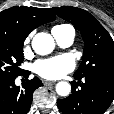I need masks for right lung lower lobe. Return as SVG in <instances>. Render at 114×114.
<instances>
[{
	"instance_id": "right-lung-lower-lobe-1",
	"label": "right lung lower lobe",
	"mask_w": 114,
	"mask_h": 114,
	"mask_svg": "<svg viewBox=\"0 0 114 114\" xmlns=\"http://www.w3.org/2000/svg\"><path fill=\"white\" fill-rule=\"evenodd\" d=\"M29 74L23 71L20 75L28 77ZM15 78L0 81V114H26L30 110L33 92L43 85L34 77L20 88L15 85Z\"/></svg>"
}]
</instances>
